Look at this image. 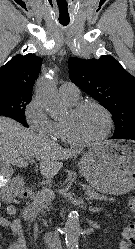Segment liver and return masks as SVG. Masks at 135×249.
<instances>
[{"instance_id":"1","label":"liver","mask_w":135,"mask_h":249,"mask_svg":"<svg viewBox=\"0 0 135 249\" xmlns=\"http://www.w3.org/2000/svg\"><path fill=\"white\" fill-rule=\"evenodd\" d=\"M78 153L79 150L64 149L29 131L15 120L0 116V162L6 166L26 167L28 163L23 158L35 157L40 163L41 174L52 178L61 169V161ZM5 183L0 180V187Z\"/></svg>"}]
</instances>
